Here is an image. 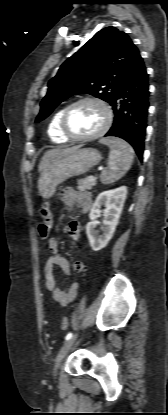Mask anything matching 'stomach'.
Segmentation results:
<instances>
[{"label": "stomach", "instance_id": "obj_1", "mask_svg": "<svg viewBox=\"0 0 168 415\" xmlns=\"http://www.w3.org/2000/svg\"><path fill=\"white\" fill-rule=\"evenodd\" d=\"M102 159L101 154L94 148L75 147L66 155L54 161L38 180L39 194L50 198L56 188L69 178L79 176L89 171Z\"/></svg>", "mask_w": 168, "mask_h": 415}]
</instances>
